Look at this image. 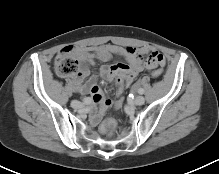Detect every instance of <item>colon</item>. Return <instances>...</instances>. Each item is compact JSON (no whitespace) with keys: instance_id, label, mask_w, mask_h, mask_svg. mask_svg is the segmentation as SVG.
Wrapping results in <instances>:
<instances>
[{"instance_id":"obj_1","label":"colon","mask_w":219,"mask_h":174,"mask_svg":"<svg viewBox=\"0 0 219 174\" xmlns=\"http://www.w3.org/2000/svg\"><path fill=\"white\" fill-rule=\"evenodd\" d=\"M79 63L75 57L71 55L68 48L58 53L55 59V70L61 77H70L77 74ZM163 75L162 69H156L152 72L155 79H160ZM116 121L114 119H106L100 126V131L106 135H113L116 130Z\"/></svg>"}]
</instances>
